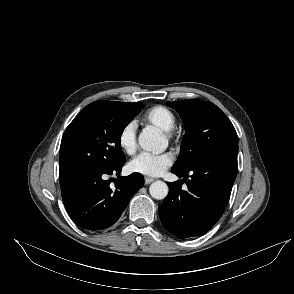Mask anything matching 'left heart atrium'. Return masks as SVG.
<instances>
[{
    "mask_svg": "<svg viewBox=\"0 0 294 294\" xmlns=\"http://www.w3.org/2000/svg\"><path fill=\"white\" fill-rule=\"evenodd\" d=\"M172 162L173 157L169 153L158 155L140 154L128 163V169L132 173L156 177L169 168Z\"/></svg>",
    "mask_w": 294,
    "mask_h": 294,
    "instance_id": "obj_1",
    "label": "left heart atrium"
}]
</instances>
